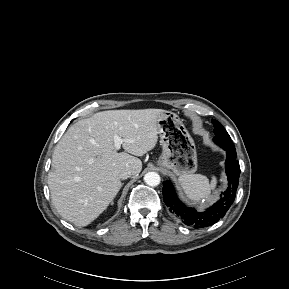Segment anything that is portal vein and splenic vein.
<instances>
[{"label":"portal vein and splenic vein","instance_id":"18ae733b","mask_svg":"<svg viewBox=\"0 0 289 289\" xmlns=\"http://www.w3.org/2000/svg\"><path fill=\"white\" fill-rule=\"evenodd\" d=\"M127 140L122 139L118 135H114V146L116 150H119L123 142H126Z\"/></svg>","mask_w":289,"mask_h":289}]
</instances>
